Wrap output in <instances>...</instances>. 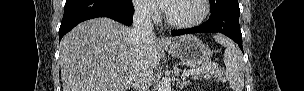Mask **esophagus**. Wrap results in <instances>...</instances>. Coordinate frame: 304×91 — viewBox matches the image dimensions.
Returning <instances> with one entry per match:
<instances>
[{"mask_svg": "<svg viewBox=\"0 0 304 91\" xmlns=\"http://www.w3.org/2000/svg\"><path fill=\"white\" fill-rule=\"evenodd\" d=\"M159 42L162 44V45H168L170 43L169 39L166 38V37H161L159 39Z\"/></svg>", "mask_w": 304, "mask_h": 91, "instance_id": "34e87169", "label": "esophagus"}]
</instances>
